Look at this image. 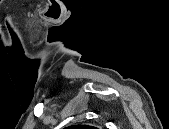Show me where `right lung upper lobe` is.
I'll list each match as a JSON object with an SVG mask.
<instances>
[{
	"mask_svg": "<svg viewBox=\"0 0 169 129\" xmlns=\"http://www.w3.org/2000/svg\"><path fill=\"white\" fill-rule=\"evenodd\" d=\"M84 127H87V126H84V125H74V126H70L69 128L79 129V128H84Z\"/></svg>",
	"mask_w": 169,
	"mask_h": 129,
	"instance_id": "cb5924a9",
	"label": "right lung upper lobe"
}]
</instances>
